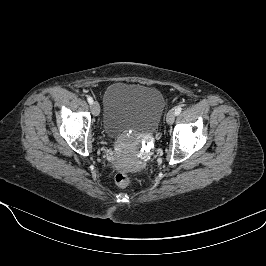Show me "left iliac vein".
Listing matches in <instances>:
<instances>
[{"label":"left iliac vein","mask_w":266,"mask_h":266,"mask_svg":"<svg viewBox=\"0 0 266 266\" xmlns=\"http://www.w3.org/2000/svg\"><path fill=\"white\" fill-rule=\"evenodd\" d=\"M175 117H176V114H175V111L174 110H170L168 113H167V116H166V122L168 124H172L175 120Z\"/></svg>","instance_id":"4c4485c4"}]
</instances>
